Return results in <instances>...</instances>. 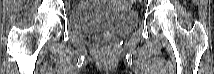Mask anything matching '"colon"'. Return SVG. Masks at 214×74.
<instances>
[{
  "label": "colon",
  "mask_w": 214,
  "mask_h": 74,
  "mask_svg": "<svg viewBox=\"0 0 214 74\" xmlns=\"http://www.w3.org/2000/svg\"><path fill=\"white\" fill-rule=\"evenodd\" d=\"M134 2H135V1H133V0H128V1H126V3H127L128 6L132 5Z\"/></svg>",
  "instance_id": "5ec220e1"
}]
</instances>
